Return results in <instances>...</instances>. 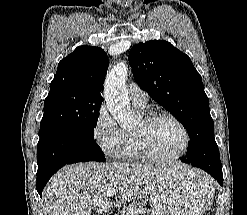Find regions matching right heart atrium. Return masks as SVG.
Here are the masks:
<instances>
[{"label": "right heart atrium", "instance_id": "right-heart-atrium-1", "mask_svg": "<svg viewBox=\"0 0 247 215\" xmlns=\"http://www.w3.org/2000/svg\"><path fill=\"white\" fill-rule=\"evenodd\" d=\"M93 136L105 155L113 158L119 157L124 133L105 105H102L97 111Z\"/></svg>", "mask_w": 247, "mask_h": 215}]
</instances>
